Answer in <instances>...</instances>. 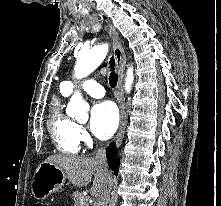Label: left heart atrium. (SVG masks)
<instances>
[{
    "instance_id": "39dd6f15",
    "label": "left heart atrium",
    "mask_w": 221,
    "mask_h": 206,
    "mask_svg": "<svg viewBox=\"0 0 221 206\" xmlns=\"http://www.w3.org/2000/svg\"><path fill=\"white\" fill-rule=\"evenodd\" d=\"M119 124L116 106L109 101L94 105L90 113V129L100 139L111 137Z\"/></svg>"
}]
</instances>
